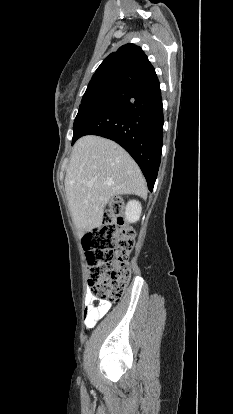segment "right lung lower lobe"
<instances>
[{"label": "right lung lower lobe", "instance_id": "right-lung-lower-lobe-1", "mask_svg": "<svg viewBox=\"0 0 233 414\" xmlns=\"http://www.w3.org/2000/svg\"><path fill=\"white\" fill-rule=\"evenodd\" d=\"M163 123L160 84L154 74L134 80L124 93L91 110L78 127L77 139L92 134L117 142L140 166L152 191L161 160Z\"/></svg>", "mask_w": 233, "mask_h": 414}]
</instances>
